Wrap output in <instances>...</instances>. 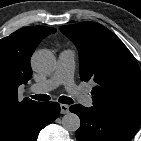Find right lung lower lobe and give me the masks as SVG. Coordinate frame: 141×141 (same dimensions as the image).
I'll list each match as a JSON object with an SVG mask.
<instances>
[{"mask_svg": "<svg viewBox=\"0 0 141 141\" xmlns=\"http://www.w3.org/2000/svg\"><path fill=\"white\" fill-rule=\"evenodd\" d=\"M60 113L56 102H37L0 128V141H37L41 129Z\"/></svg>", "mask_w": 141, "mask_h": 141, "instance_id": "98d812e1", "label": "right lung lower lobe"}]
</instances>
